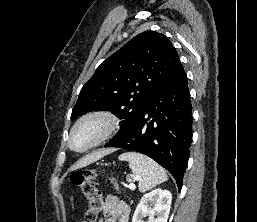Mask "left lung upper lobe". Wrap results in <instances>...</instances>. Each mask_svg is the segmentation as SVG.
<instances>
[{
  "label": "left lung upper lobe",
  "instance_id": "obj_1",
  "mask_svg": "<svg viewBox=\"0 0 257 222\" xmlns=\"http://www.w3.org/2000/svg\"><path fill=\"white\" fill-rule=\"evenodd\" d=\"M180 65L165 35L140 33L99 65L82 87L71 119L89 111L109 110L123 120L117 137Z\"/></svg>",
  "mask_w": 257,
  "mask_h": 222
}]
</instances>
